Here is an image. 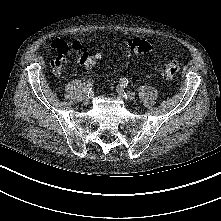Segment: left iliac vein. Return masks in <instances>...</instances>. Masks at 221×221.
Listing matches in <instances>:
<instances>
[{
    "mask_svg": "<svg viewBox=\"0 0 221 221\" xmlns=\"http://www.w3.org/2000/svg\"><path fill=\"white\" fill-rule=\"evenodd\" d=\"M125 96H126V98L127 99H129V100H133V99H135V93L134 92H132V91H127L126 93H125Z\"/></svg>",
    "mask_w": 221,
    "mask_h": 221,
    "instance_id": "left-iliac-vein-1",
    "label": "left iliac vein"
}]
</instances>
